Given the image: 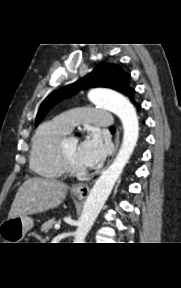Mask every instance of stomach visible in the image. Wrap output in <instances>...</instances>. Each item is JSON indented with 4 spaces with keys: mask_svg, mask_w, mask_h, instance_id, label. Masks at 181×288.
Returning a JSON list of instances; mask_svg holds the SVG:
<instances>
[{
    "mask_svg": "<svg viewBox=\"0 0 181 288\" xmlns=\"http://www.w3.org/2000/svg\"><path fill=\"white\" fill-rule=\"evenodd\" d=\"M75 196L78 199L83 198L78 194ZM33 226V220L28 216L8 217L0 224V237L7 241L6 243H19Z\"/></svg>",
    "mask_w": 181,
    "mask_h": 288,
    "instance_id": "0dacf381",
    "label": "stomach"
}]
</instances>
